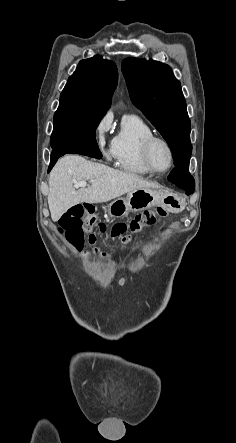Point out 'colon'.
<instances>
[{
  "instance_id": "5ec220e1",
  "label": "colon",
  "mask_w": 236,
  "mask_h": 443,
  "mask_svg": "<svg viewBox=\"0 0 236 443\" xmlns=\"http://www.w3.org/2000/svg\"><path fill=\"white\" fill-rule=\"evenodd\" d=\"M166 214V210L160 207L154 210H146L136 215L129 222H118L107 228L104 223L98 221L94 212L88 206L75 204L62 214L59 219V226L68 240L84 257L107 258L110 253L99 250L94 246L96 236L91 231L92 227L100 233H109L112 238L120 237L124 244H129L133 235L154 225Z\"/></svg>"
}]
</instances>
